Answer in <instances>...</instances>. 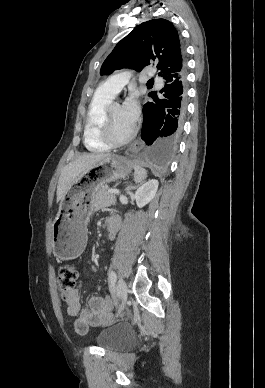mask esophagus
I'll return each instance as SVG.
<instances>
[{
    "label": "esophagus",
    "mask_w": 265,
    "mask_h": 388,
    "mask_svg": "<svg viewBox=\"0 0 265 388\" xmlns=\"http://www.w3.org/2000/svg\"><path fill=\"white\" fill-rule=\"evenodd\" d=\"M141 148H143V142H142V140L139 139L136 142L132 143V145H130L126 149L125 154L132 157L136 153H138V151H140Z\"/></svg>",
    "instance_id": "34e87169"
}]
</instances>
